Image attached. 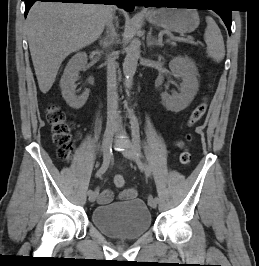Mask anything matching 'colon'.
I'll return each mask as SVG.
<instances>
[{"label": "colon", "instance_id": "1", "mask_svg": "<svg viewBox=\"0 0 259 266\" xmlns=\"http://www.w3.org/2000/svg\"><path fill=\"white\" fill-rule=\"evenodd\" d=\"M207 98L202 101L193 109L189 119L188 125L193 126L199 122L207 111ZM46 120L50 126L51 136L53 142L58 147L59 157L63 160H69L74 154L75 147L72 139V124L67 119L65 112L57 105H50L46 110ZM192 159L191 151L185 148L179 155V160L182 164H189ZM114 184L118 188L125 186V178L122 175H116Z\"/></svg>", "mask_w": 259, "mask_h": 266}]
</instances>
